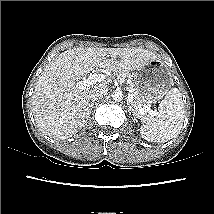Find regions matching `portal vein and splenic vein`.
Returning <instances> with one entry per match:
<instances>
[{
  "label": "portal vein and splenic vein",
  "mask_w": 214,
  "mask_h": 214,
  "mask_svg": "<svg viewBox=\"0 0 214 214\" xmlns=\"http://www.w3.org/2000/svg\"><path fill=\"white\" fill-rule=\"evenodd\" d=\"M106 79V75L104 74H92L90 75L87 79L79 81L77 83V85L79 86V88L81 89H85L87 87H90L91 85L97 83V82H102ZM130 92L128 93V97H127V101L128 102H132L133 101V94L131 93V90L129 88H127ZM146 113H150L152 115H155V112L153 110H151L150 107L145 106L142 109H140L139 114L144 115Z\"/></svg>",
  "instance_id": "1"
}]
</instances>
